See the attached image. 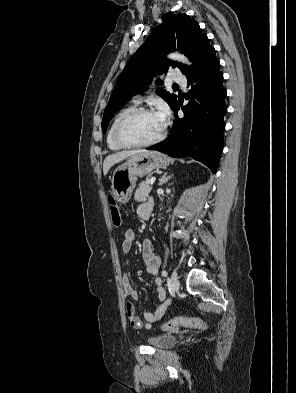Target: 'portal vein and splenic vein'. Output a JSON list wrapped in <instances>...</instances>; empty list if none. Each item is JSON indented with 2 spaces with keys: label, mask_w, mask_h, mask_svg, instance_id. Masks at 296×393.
I'll return each mask as SVG.
<instances>
[{
  "label": "portal vein and splenic vein",
  "mask_w": 296,
  "mask_h": 393,
  "mask_svg": "<svg viewBox=\"0 0 296 393\" xmlns=\"http://www.w3.org/2000/svg\"><path fill=\"white\" fill-rule=\"evenodd\" d=\"M155 180H156L155 177L151 178V179H150V184L153 185V183L155 182Z\"/></svg>",
  "instance_id": "obj_1"
}]
</instances>
